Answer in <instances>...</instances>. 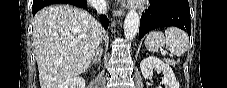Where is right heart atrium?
<instances>
[{
  "label": "right heart atrium",
  "mask_w": 227,
  "mask_h": 88,
  "mask_svg": "<svg viewBox=\"0 0 227 88\" xmlns=\"http://www.w3.org/2000/svg\"><path fill=\"white\" fill-rule=\"evenodd\" d=\"M89 4H91L92 6L98 7L102 4L101 0H88L87 1Z\"/></svg>",
  "instance_id": "1"
}]
</instances>
